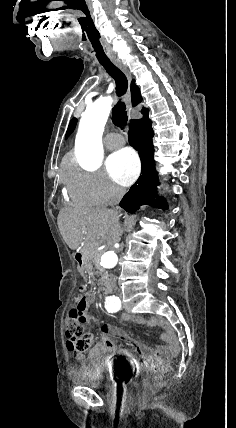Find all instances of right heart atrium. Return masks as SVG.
Segmentation results:
<instances>
[{
	"instance_id": "1",
	"label": "right heart atrium",
	"mask_w": 236,
	"mask_h": 428,
	"mask_svg": "<svg viewBox=\"0 0 236 428\" xmlns=\"http://www.w3.org/2000/svg\"><path fill=\"white\" fill-rule=\"evenodd\" d=\"M65 184L73 202L79 206H108L120 200L124 190L114 184L102 170H84L73 166Z\"/></svg>"
}]
</instances>
